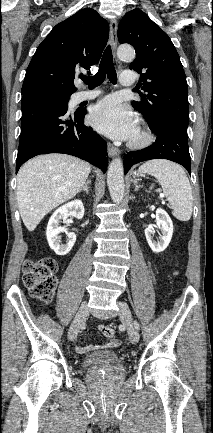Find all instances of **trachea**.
Segmentation results:
<instances>
[{"label": "trachea", "mask_w": 213, "mask_h": 433, "mask_svg": "<svg viewBox=\"0 0 213 433\" xmlns=\"http://www.w3.org/2000/svg\"><path fill=\"white\" fill-rule=\"evenodd\" d=\"M106 76L112 84L117 83V74L113 64V56L110 45L106 47L103 53L98 72L92 77H83L82 80L85 84H88L89 88H94L100 85Z\"/></svg>", "instance_id": "obj_1"}]
</instances>
